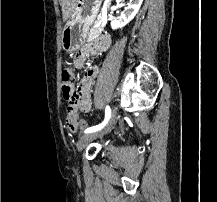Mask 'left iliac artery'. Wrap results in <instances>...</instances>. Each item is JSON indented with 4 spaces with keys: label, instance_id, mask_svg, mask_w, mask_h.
Listing matches in <instances>:
<instances>
[{
    "label": "left iliac artery",
    "instance_id": "left-iliac-artery-1",
    "mask_svg": "<svg viewBox=\"0 0 217 202\" xmlns=\"http://www.w3.org/2000/svg\"><path fill=\"white\" fill-rule=\"evenodd\" d=\"M110 116H111V109L109 106H106L104 121L99 125L87 128L84 131V133H92V132H96V131L102 129L107 124L108 120L110 119Z\"/></svg>",
    "mask_w": 217,
    "mask_h": 202
}]
</instances>
